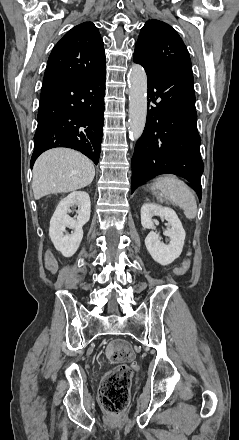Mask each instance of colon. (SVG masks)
<instances>
[{
	"instance_id": "colon-1",
	"label": "colon",
	"mask_w": 239,
	"mask_h": 440,
	"mask_svg": "<svg viewBox=\"0 0 239 440\" xmlns=\"http://www.w3.org/2000/svg\"><path fill=\"white\" fill-rule=\"evenodd\" d=\"M190 266L186 259L181 266L173 269V274H184ZM108 359L116 366L105 373L100 385V401L105 411L110 414H121L130 396L132 369L125 362L133 360L135 354L130 343L123 339L113 340L107 347Z\"/></svg>"
}]
</instances>
